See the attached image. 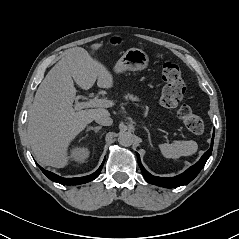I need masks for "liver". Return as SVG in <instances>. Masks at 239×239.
Returning a JSON list of instances; mask_svg holds the SVG:
<instances>
[{
    "label": "liver",
    "mask_w": 239,
    "mask_h": 239,
    "mask_svg": "<svg viewBox=\"0 0 239 239\" xmlns=\"http://www.w3.org/2000/svg\"><path fill=\"white\" fill-rule=\"evenodd\" d=\"M102 47L93 44L92 53ZM113 87L110 71L84 48L68 50L39 85L29 111L27 133L36 159L45 166L62 168L69 161L70 142L94 120L102 108L75 110L76 84L90 89Z\"/></svg>",
    "instance_id": "liver-1"
}]
</instances>
